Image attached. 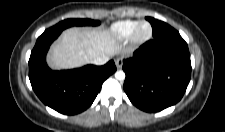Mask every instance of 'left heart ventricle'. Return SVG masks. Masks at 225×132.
<instances>
[{"mask_svg": "<svg viewBox=\"0 0 225 132\" xmlns=\"http://www.w3.org/2000/svg\"><path fill=\"white\" fill-rule=\"evenodd\" d=\"M147 30H148V27H147V26H143V28H142V33H146Z\"/></svg>", "mask_w": 225, "mask_h": 132, "instance_id": "1", "label": "left heart ventricle"}]
</instances>
